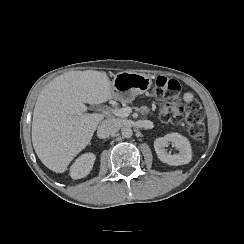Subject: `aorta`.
<instances>
[{
  "label": "aorta",
  "instance_id": "762f6f07",
  "mask_svg": "<svg viewBox=\"0 0 244 244\" xmlns=\"http://www.w3.org/2000/svg\"><path fill=\"white\" fill-rule=\"evenodd\" d=\"M121 134L125 138H130L133 135V131L130 127H123L121 129Z\"/></svg>",
  "mask_w": 244,
  "mask_h": 244
}]
</instances>
